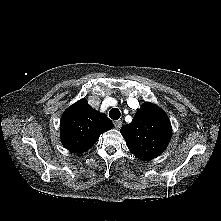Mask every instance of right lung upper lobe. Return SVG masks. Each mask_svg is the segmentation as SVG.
Wrapping results in <instances>:
<instances>
[{"label":"right lung upper lobe","instance_id":"right-lung-upper-lobe-1","mask_svg":"<svg viewBox=\"0 0 221 221\" xmlns=\"http://www.w3.org/2000/svg\"><path fill=\"white\" fill-rule=\"evenodd\" d=\"M60 127L64 147L83 153L96 143L102 133L112 129L113 123L81 99L63 113Z\"/></svg>","mask_w":221,"mask_h":221}]
</instances>
